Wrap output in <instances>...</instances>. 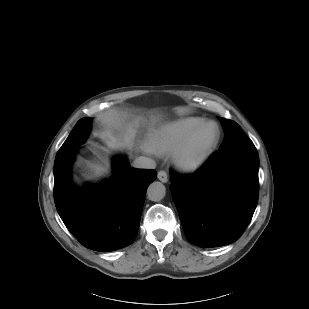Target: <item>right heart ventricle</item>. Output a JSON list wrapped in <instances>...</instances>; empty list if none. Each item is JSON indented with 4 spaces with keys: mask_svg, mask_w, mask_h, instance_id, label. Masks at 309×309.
<instances>
[{
    "mask_svg": "<svg viewBox=\"0 0 309 309\" xmlns=\"http://www.w3.org/2000/svg\"><path fill=\"white\" fill-rule=\"evenodd\" d=\"M202 122L201 118L189 117L162 125L150 134L149 148L158 155H170L186 135Z\"/></svg>",
    "mask_w": 309,
    "mask_h": 309,
    "instance_id": "obj_1",
    "label": "right heart ventricle"
}]
</instances>
